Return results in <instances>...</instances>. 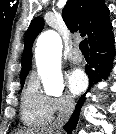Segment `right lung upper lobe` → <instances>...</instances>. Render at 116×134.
I'll return each instance as SVG.
<instances>
[{"label": "right lung upper lobe", "instance_id": "obj_1", "mask_svg": "<svg viewBox=\"0 0 116 134\" xmlns=\"http://www.w3.org/2000/svg\"><path fill=\"white\" fill-rule=\"evenodd\" d=\"M62 17L72 33L79 31L82 36L87 35L89 44L112 29L109 9L104 0H68L63 9ZM43 26V19L37 17L25 33L21 78H26L31 68L32 45L35 37L42 31Z\"/></svg>", "mask_w": 116, "mask_h": 134}]
</instances>
